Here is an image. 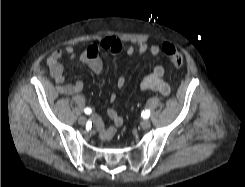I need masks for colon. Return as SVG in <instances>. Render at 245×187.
I'll return each instance as SVG.
<instances>
[{"instance_id":"1","label":"colon","mask_w":245,"mask_h":187,"mask_svg":"<svg viewBox=\"0 0 245 187\" xmlns=\"http://www.w3.org/2000/svg\"><path fill=\"white\" fill-rule=\"evenodd\" d=\"M163 53L169 58L171 64L181 69L184 65V56L172 44L164 43L162 46Z\"/></svg>"}]
</instances>
